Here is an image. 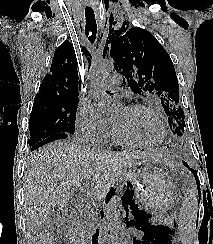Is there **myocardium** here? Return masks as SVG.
Returning <instances> with one entry per match:
<instances>
[{"label": "myocardium", "mask_w": 213, "mask_h": 244, "mask_svg": "<svg viewBox=\"0 0 213 244\" xmlns=\"http://www.w3.org/2000/svg\"><path fill=\"white\" fill-rule=\"evenodd\" d=\"M125 108L128 110L149 111L158 121V123L161 127V130H162V136L159 141H157L153 144L136 142V141H132V140L125 138L123 135L120 134V132L117 130V128L113 125V127H112L113 135L118 142H120L121 144H124L126 146H129V147L142 148V149H153V148L160 146L164 142L166 135H167L166 125H165L164 121L162 120L160 114L157 112V110L153 106L147 105V104H142V103H135V104H130V105L126 106Z\"/></svg>", "instance_id": "1"}]
</instances>
